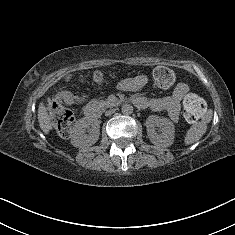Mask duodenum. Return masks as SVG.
Instances as JSON below:
<instances>
[{"label":"duodenum","mask_w":235,"mask_h":235,"mask_svg":"<svg viewBox=\"0 0 235 235\" xmlns=\"http://www.w3.org/2000/svg\"><path fill=\"white\" fill-rule=\"evenodd\" d=\"M88 118H97L100 115V110L94 105H88L85 109Z\"/></svg>","instance_id":"duodenum-1"}]
</instances>
